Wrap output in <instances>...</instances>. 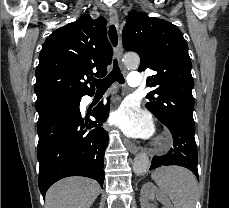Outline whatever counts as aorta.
Listing matches in <instances>:
<instances>
[{
	"label": "aorta",
	"instance_id": "1",
	"mask_svg": "<svg viewBox=\"0 0 229 208\" xmlns=\"http://www.w3.org/2000/svg\"><path fill=\"white\" fill-rule=\"evenodd\" d=\"M124 64L127 68H137L140 64V58L137 54H126ZM150 167L149 157L145 153L135 156L133 162V171L136 175H143Z\"/></svg>",
	"mask_w": 229,
	"mask_h": 208
}]
</instances>
